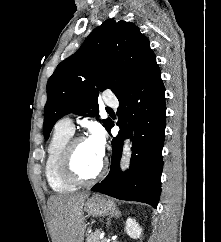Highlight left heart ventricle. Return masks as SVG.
I'll return each instance as SVG.
<instances>
[{"instance_id":"obj_1","label":"left heart ventricle","mask_w":221,"mask_h":242,"mask_svg":"<svg viewBox=\"0 0 221 242\" xmlns=\"http://www.w3.org/2000/svg\"><path fill=\"white\" fill-rule=\"evenodd\" d=\"M102 157L98 156L86 140L76 146L74 164L77 172L83 176L93 175L99 168Z\"/></svg>"}]
</instances>
